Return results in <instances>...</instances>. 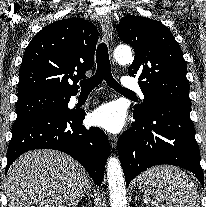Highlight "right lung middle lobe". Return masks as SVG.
<instances>
[{
    "mask_svg": "<svg viewBox=\"0 0 206 207\" xmlns=\"http://www.w3.org/2000/svg\"><path fill=\"white\" fill-rule=\"evenodd\" d=\"M70 95L34 94L18 99L15 122L24 121L42 115H59L69 113Z\"/></svg>",
    "mask_w": 206,
    "mask_h": 207,
    "instance_id": "dd1d6c3e",
    "label": "right lung middle lobe"
}]
</instances>
